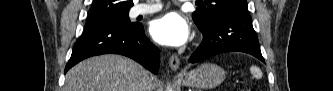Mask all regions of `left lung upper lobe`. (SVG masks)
Segmentation results:
<instances>
[{"label":"left lung upper lobe","mask_w":333,"mask_h":91,"mask_svg":"<svg viewBox=\"0 0 333 91\" xmlns=\"http://www.w3.org/2000/svg\"><path fill=\"white\" fill-rule=\"evenodd\" d=\"M192 18L200 30L206 29L219 16L239 11H248L247 0H198Z\"/></svg>","instance_id":"left-lung-upper-lobe-1"}]
</instances>
